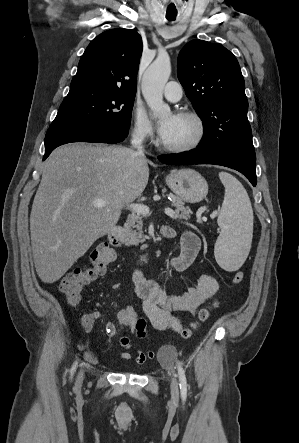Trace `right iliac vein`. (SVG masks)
I'll return each mask as SVG.
<instances>
[{
    "label": "right iliac vein",
    "instance_id": "obj_1",
    "mask_svg": "<svg viewBox=\"0 0 299 443\" xmlns=\"http://www.w3.org/2000/svg\"><path fill=\"white\" fill-rule=\"evenodd\" d=\"M83 378H84V373H83V371H81L79 373V375H78V378H77V382H76L77 385H81L82 384Z\"/></svg>",
    "mask_w": 299,
    "mask_h": 443
}]
</instances>
